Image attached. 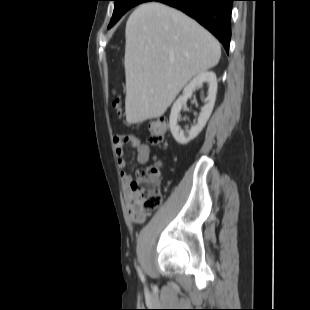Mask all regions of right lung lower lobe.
Here are the masks:
<instances>
[{
	"mask_svg": "<svg viewBox=\"0 0 310 310\" xmlns=\"http://www.w3.org/2000/svg\"><path fill=\"white\" fill-rule=\"evenodd\" d=\"M177 8L208 29L228 52L232 2L235 0H149Z\"/></svg>",
	"mask_w": 310,
	"mask_h": 310,
	"instance_id": "98d812e1",
	"label": "right lung lower lobe"
}]
</instances>
